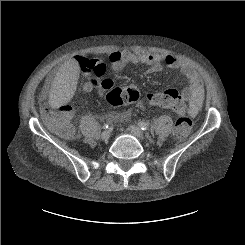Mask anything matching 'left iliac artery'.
Here are the masks:
<instances>
[{
  "mask_svg": "<svg viewBox=\"0 0 245 245\" xmlns=\"http://www.w3.org/2000/svg\"><path fill=\"white\" fill-rule=\"evenodd\" d=\"M139 127L142 129V130H147L149 127H148V124L143 122V121H140L138 123Z\"/></svg>",
  "mask_w": 245,
  "mask_h": 245,
  "instance_id": "44dca946",
  "label": "left iliac artery"
}]
</instances>
